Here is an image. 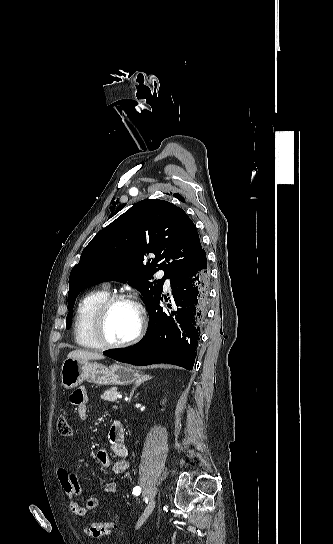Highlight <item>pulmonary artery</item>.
I'll return each instance as SVG.
<instances>
[{
    "mask_svg": "<svg viewBox=\"0 0 333 544\" xmlns=\"http://www.w3.org/2000/svg\"><path fill=\"white\" fill-rule=\"evenodd\" d=\"M161 274H162V273H161ZM165 286H166V287H169V286H170L169 280H167V281L165 282Z\"/></svg>",
    "mask_w": 333,
    "mask_h": 544,
    "instance_id": "e3ab8cb5",
    "label": "pulmonary artery"
}]
</instances>
